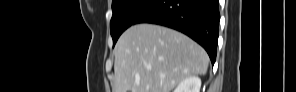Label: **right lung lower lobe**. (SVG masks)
Segmentation results:
<instances>
[{
    "mask_svg": "<svg viewBox=\"0 0 296 92\" xmlns=\"http://www.w3.org/2000/svg\"><path fill=\"white\" fill-rule=\"evenodd\" d=\"M219 20L218 0H156L133 24L153 23L178 30L204 47L214 64Z\"/></svg>",
    "mask_w": 296,
    "mask_h": 92,
    "instance_id": "right-lung-lower-lobe-1",
    "label": "right lung lower lobe"
}]
</instances>
